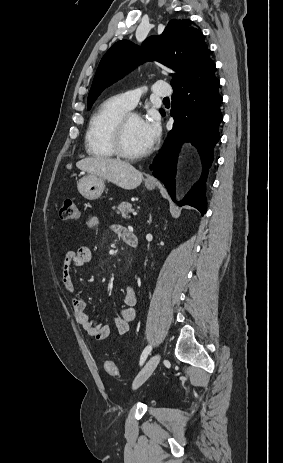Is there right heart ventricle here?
Segmentation results:
<instances>
[{
  "mask_svg": "<svg viewBox=\"0 0 283 463\" xmlns=\"http://www.w3.org/2000/svg\"><path fill=\"white\" fill-rule=\"evenodd\" d=\"M129 111L118 96L103 101L92 114L85 135L86 152L96 158L115 156L112 133L117 121Z\"/></svg>",
  "mask_w": 283,
  "mask_h": 463,
  "instance_id": "e07e8e85",
  "label": "right heart ventricle"
}]
</instances>
